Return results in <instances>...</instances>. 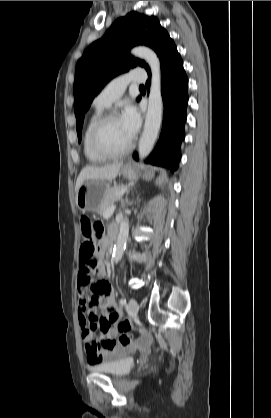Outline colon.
<instances>
[{
	"label": "colon",
	"mask_w": 271,
	"mask_h": 418,
	"mask_svg": "<svg viewBox=\"0 0 271 418\" xmlns=\"http://www.w3.org/2000/svg\"><path fill=\"white\" fill-rule=\"evenodd\" d=\"M80 226L82 231L83 239L88 241L95 242V251L98 247L99 242L102 238V226L100 223H94L90 218L82 216L80 219ZM130 329V323L128 321H123L118 325V330L121 333H124L120 336L119 341L123 344H128L131 341V336L126 334ZM94 332L97 333V330L94 329Z\"/></svg>",
	"instance_id": "1"
}]
</instances>
